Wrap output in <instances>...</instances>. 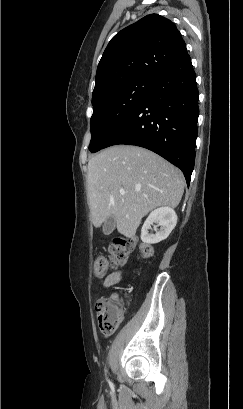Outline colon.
I'll return each instance as SVG.
<instances>
[{
    "instance_id": "1",
    "label": "colon",
    "mask_w": 243,
    "mask_h": 409,
    "mask_svg": "<svg viewBox=\"0 0 243 409\" xmlns=\"http://www.w3.org/2000/svg\"><path fill=\"white\" fill-rule=\"evenodd\" d=\"M135 244L133 239L116 238L109 246V255L101 256L94 261V275L97 278H103L109 270L118 265L126 263L129 254L132 252ZM153 248L149 244H142L139 248V256L142 258H151ZM127 306V297L121 300L101 298L96 303V311L100 330L105 334L114 333L121 324L125 307Z\"/></svg>"
}]
</instances>
